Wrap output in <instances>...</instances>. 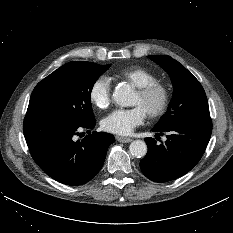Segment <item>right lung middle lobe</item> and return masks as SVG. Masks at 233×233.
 Returning <instances> with one entry per match:
<instances>
[{
    "label": "right lung middle lobe",
    "mask_w": 233,
    "mask_h": 233,
    "mask_svg": "<svg viewBox=\"0 0 233 233\" xmlns=\"http://www.w3.org/2000/svg\"><path fill=\"white\" fill-rule=\"evenodd\" d=\"M110 66L86 61L61 66L36 85L27 112L52 113L82 124L94 122L91 91Z\"/></svg>",
    "instance_id": "1"
}]
</instances>
